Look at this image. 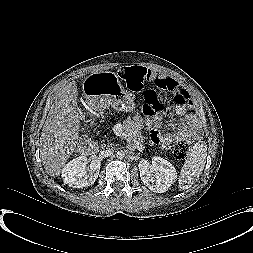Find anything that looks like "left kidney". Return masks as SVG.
Masks as SVG:
<instances>
[{
  "instance_id": "obj_1",
  "label": "left kidney",
  "mask_w": 253,
  "mask_h": 253,
  "mask_svg": "<svg viewBox=\"0 0 253 253\" xmlns=\"http://www.w3.org/2000/svg\"><path fill=\"white\" fill-rule=\"evenodd\" d=\"M138 167L144 185L156 193L166 192L177 179L175 167L158 156H154L151 163L141 160Z\"/></svg>"
}]
</instances>
